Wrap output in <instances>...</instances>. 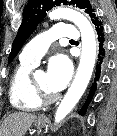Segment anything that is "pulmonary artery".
Masks as SVG:
<instances>
[{
  "label": "pulmonary artery",
  "mask_w": 117,
  "mask_h": 136,
  "mask_svg": "<svg viewBox=\"0 0 117 136\" xmlns=\"http://www.w3.org/2000/svg\"><path fill=\"white\" fill-rule=\"evenodd\" d=\"M79 32L72 25L63 23L58 27L44 31L38 37L30 41L22 50L21 60L38 63L45 54L50 44L57 39H77Z\"/></svg>",
  "instance_id": "1"
}]
</instances>
